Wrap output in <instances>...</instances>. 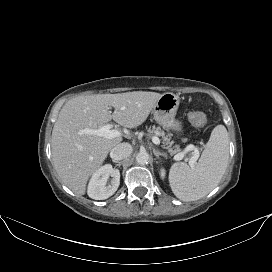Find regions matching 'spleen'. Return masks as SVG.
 Returning <instances> with one entry per match:
<instances>
[{
	"label": "spleen",
	"instance_id": "1",
	"mask_svg": "<svg viewBox=\"0 0 272 272\" xmlns=\"http://www.w3.org/2000/svg\"><path fill=\"white\" fill-rule=\"evenodd\" d=\"M228 159V132L224 125H217L194 169L184 162L171 166L169 183L172 192L182 201L201 199L218 185L227 168Z\"/></svg>",
	"mask_w": 272,
	"mask_h": 272
}]
</instances>
